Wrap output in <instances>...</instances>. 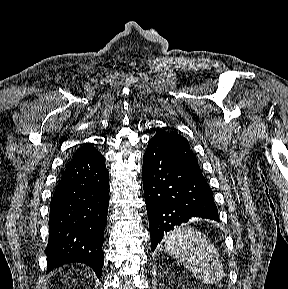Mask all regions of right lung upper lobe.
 Masks as SVG:
<instances>
[{
  "mask_svg": "<svg viewBox=\"0 0 288 289\" xmlns=\"http://www.w3.org/2000/svg\"><path fill=\"white\" fill-rule=\"evenodd\" d=\"M94 152H97V150L94 148L93 144L87 143V144H84L80 149H78L74 153L73 159H76V158H79V157H82V156H85Z\"/></svg>",
  "mask_w": 288,
  "mask_h": 289,
  "instance_id": "right-lung-upper-lobe-1",
  "label": "right lung upper lobe"
}]
</instances>
